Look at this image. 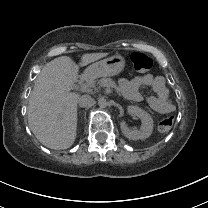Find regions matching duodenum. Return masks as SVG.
<instances>
[{
  "instance_id": "duodenum-1",
  "label": "duodenum",
  "mask_w": 208,
  "mask_h": 208,
  "mask_svg": "<svg viewBox=\"0 0 208 208\" xmlns=\"http://www.w3.org/2000/svg\"><path fill=\"white\" fill-rule=\"evenodd\" d=\"M86 80H87V78H86V76H81V77H79L78 79H77V86H83L85 83H86Z\"/></svg>"
}]
</instances>
